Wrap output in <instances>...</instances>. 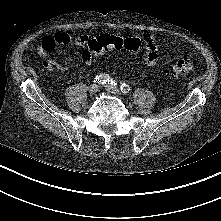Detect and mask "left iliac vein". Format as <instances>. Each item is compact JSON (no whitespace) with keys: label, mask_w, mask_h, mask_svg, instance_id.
<instances>
[{"label":"left iliac vein","mask_w":221,"mask_h":221,"mask_svg":"<svg viewBox=\"0 0 221 221\" xmlns=\"http://www.w3.org/2000/svg\"><path fill=\"white\" fill-rule=\"evenodd\" d=\"M105 89L108 92L113 93V94H120L121 93L120 89L117 86L112 85V84L111 85L110 84L105 85Z\"/></svg>","instance_id":"left-iliac-vein-1"}]
</instances>
